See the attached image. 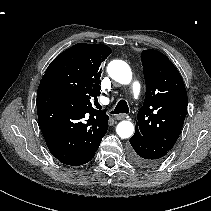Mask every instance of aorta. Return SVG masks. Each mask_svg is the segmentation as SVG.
Wrapping results in <instances>:
<instances>
[{"mask_svg":"<svg viewBox=\"0 0 211 211\" xmlns=\"http://www.w3.org/2000/svg\"><path fill=\"white\" fill-rule=\"evenodd\" d=\"M107 72L109 76L118 83L129 84L131 82L132 72L129 65L124 61H111L108 64ZM116 132L120 138H129L134 133V125L127 120L121 121L116 127Z\"/></svg>","mask_w":211,"mask_h":211,"instance_id":"obj_1","label":"aorta"}]
</instances>
